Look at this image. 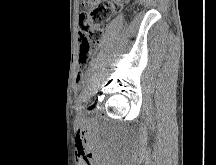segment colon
Listing matches in <instances>:
<instances>
[{"mask_svg":"<svg viewBox=\"0 0 216 165\" xmlns=\"http://www.w3.org/2000/svg\"><path fill=\"white\" fill-rule=\"evenodd\" d=\"M124 0H82L84 11L79 17L80 62L91 56L93 45L101 38L109 20Z\"/></svg>","mask_w":216,"mask_h":165,"instance_id":"5ec220e1","label":"colon"}]
</instances>
